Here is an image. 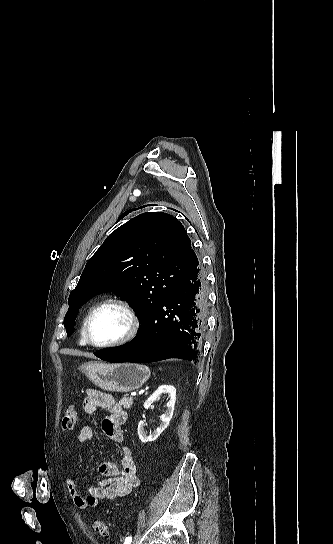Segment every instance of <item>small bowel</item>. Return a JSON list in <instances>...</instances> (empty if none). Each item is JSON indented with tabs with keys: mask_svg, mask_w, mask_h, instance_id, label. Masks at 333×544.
Returning <instances> with one entry per match:
<instances>
[{
	"mask_svg": "<svg viewBox=\"0 0 333 544\" xmlns=\"http://www.w3.org/2000/svg\"><path fill=\"white\" fill-rule=\"evenodd\" d=\"M103 409L108 415L102 421L104 434L121 448V465L104 461L99 465V472L105 478L99 480L96 485L90 486L83 495L76 481L69 478L67 481L68 492L78 509L84 510L95 507L101 500H113L129 494L139 485L137 467L132 450L125 444L122 425L127 420L126 411L110 395L95 389H88L83 401V411L93 414L97 409ZM93 438V430L90 426H83L78 434V440L85 443Z\"/></svg>",
	"mask_w": 333,
	"mask_h": 544,
	"instance_id": "small-bowel-1",
	"label": "small bowel"
}]
</instances>
